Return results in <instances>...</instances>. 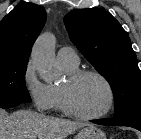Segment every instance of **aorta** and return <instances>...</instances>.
I'll use <instances>...</instances> for the list:
<instances>
[{
    "label": "aorta",
    "mask_w": 141,
    "mask_h": 139,
    "mask_svg": "<svg viewBox=\"0 0 141 139\" xmlns=\"http://www.w3.org/2000/svg\"><path fill=\"white\" fill-rule=\"evenodd\" d=\"M55 36L46 32L41 34L33 45L31 62L45 82L55 78Z\"/></svg>",
    "instance_id": "aorta-1"
}]
</instances>
